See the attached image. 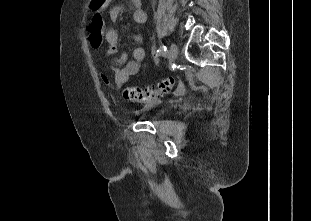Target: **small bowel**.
I'll return each mask as SVG.
<instances>
[{
    "instance_id": "1",
    "label": "small bowel",
    "mask_w": 311,
    "mask_h": 221,
    "mask_svg": "<svg viewBox=\"0 0 311 221\" xmlns=\"http://www.w3.org/2000/svg\"><path fill=\"white\" fill-rule=\"evenodd\" d=\"M132 5L134 7L133 11V20L136 23L143 24L147 21V15L144 10L140 6L139 0H132ZM122 6L116 5L110 8L109 10V17L112 22L117 21L121 12ZM100 11V8H99ZM105 39L107 42V50L106 55L111 56L113 55L118 48L119 42V35L115 28H110L106 31ZM134 41L136 43L135 48L132 51V60H128L127 54L123 53L121 56L114 59V65L123 67H114V81L113 83L110 82L109 78L106 75H102L103 81L111 85L113 87H118L128 81V79L139 72L141 67V62L145 59L146 50L144 47V38L141 35H136L134 37Z\"/></svg>"
}]
</instances>
